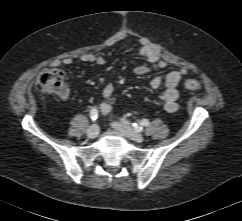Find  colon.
Returning <instances> with one entry per match:
<instances>
[{
	"label": "colon",
	"mask_w": 242,
	"mask_h": 221,
	"mask_svg": "<svg viewBox=\"0 0 242 221\" xmlns=\"http://www.w3.org/2000/svg\"><path fill=\"white\" fill-rule=\"evenodd\" d=\"M36 86L39 92L45 94L66 95L64 88V73L58 68H46L37 76ZM201 86L199 80L188 78L184 81V87L188 90H197Z\"/></svg>",
	"instance_id": "colon-1"
}]
</instances>
